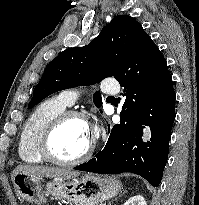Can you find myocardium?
<instances>
[{"label":"myocardium","instance_id":"myocardium-1","mask_svg":"<svg viewBox=\"0 0 199 205\" xmlns=\"http://www.w3.org/2000/svg\"><path fill=\"white\" fill-rule=\"evenodd\" d=\"M76 118L86 123L88 126V119L86 115L76 110H64L52 118L40 133L38 141V151L43 159L52 164L60 166H72L87 160L94 152L95 140L91 139V142L87 148L78 156L71 159H64L57 156L52 147V140L56 130L67 120Z\"/></svg>","mask_w":199,"mask_h":205}]
</instances>
